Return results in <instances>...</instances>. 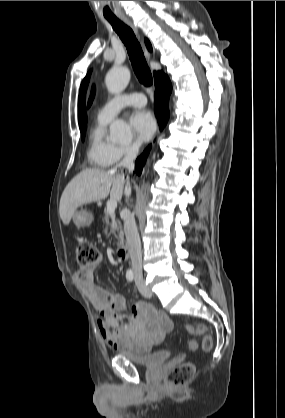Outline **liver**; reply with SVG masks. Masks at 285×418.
<instances>
[{
  "label": "liver",
  "mask_w": 285,
  "mask_h": 418,
  "mask_svg": "<svg viewBox=\"0 0 285 418\" xmlns=\"http://www.w3.org/2000/svg\"><path fill=\"white\" fill-rule=\"evenodd\" d=\"M124 176L113 170L85 169L77 174L64 189L59 205L60 218L68 225L76 209L84 204L105 199L119 201L123 195Z\"/></svg>",
  "instance_id": "6515ba94"
}]
</instances>
